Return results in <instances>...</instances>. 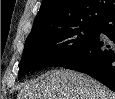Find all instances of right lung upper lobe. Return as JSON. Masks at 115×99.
I'll use <instances>...</instances> for the list:
<instances>
[{"label": "right lung upper lobe", "mask_w": 115, "mask_h": 99, "mask_svg": "<svg viewBox=\"0 0 115 99\" xmlns=\"http://www.w3.org/2000/svg\"><path fill=\"white\" fill-rule=\"evenodd\" d=\"M115 13V0H42L28 37L79 23H101Z\"/></svg>", "instance_id": "cb5924a9"}]
</instances>
